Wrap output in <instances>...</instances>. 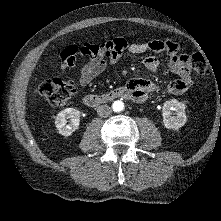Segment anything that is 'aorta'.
<instances>
[{
    "label": "aorta",
    "instance_id": "762f6f07",
    "mask_svg": "<svg viewBox=\"0 0 221 221\" xmlns=\"http://www.w3.org/2000/svg\"><path fill=\"white\" fill-rule=\"evenodd\" d=\"M124 109V104H123V102L122 101H115L114 103H113V110L115 111V112H120V111H122Z\"/></svg>",
    "mask_w": 221,
    "mask_h": 221
}]
</instances>
